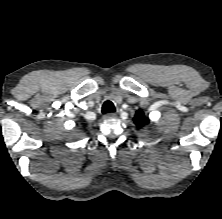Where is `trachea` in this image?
Listing matches in <instances>:
<instances>
[{
	"mask_svg": "<svg viewBox=\"0 0 222 219\" xmlns=\"http://www.w3.org/2000/svg\"><path fill=\"white\" fill-rule=\"evenodd\" d=\"M109 112H115V107L111 101H106L102 106V113L105 114Z\"/></svg>",
	"mask_w": 222,
	"mask_h": 219,
	"instance_id": "1",
	"label": "trachea"
}]
</instances>
